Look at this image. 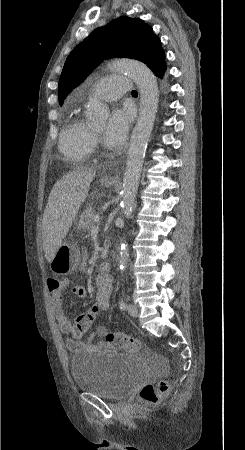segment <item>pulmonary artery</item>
Instances as JSON below:
<instances>
[{"mask_svg": "<svg viewBox=\"0 0 245 450\" xmlns=\"http://www.w3.org/2000/svg\"><path fill=\"white\" fill-rule=\"evenodd\" d=\"M130 78L127 76H107L96 81L89 89V94L105 101H114L121 95L129 93Z\"/></svg>", "mask_w": 245, "mask_h": 450, "instance_id": "1", "label": "pulmonary artery"}]
</instances>
